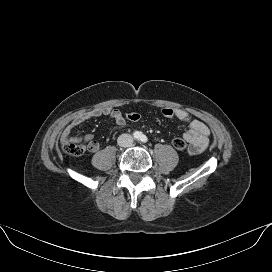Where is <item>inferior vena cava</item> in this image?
<instances>
[{
    "mask_svg": "<svg viewBox=\"0 0 272 272\" xmlns=\"http://www.w3.org/2000/svg\"><path fill=\"white\" fill-rule=\"evenodd\" d=\"M117 143L121 147H129L133 143V137L130 134H121L117 139Z\"/></svg>",
    "mask_w": 272,
    "mask_h": 272,
    "instance_id": "obj_1",
    "label": "inferior vena cava"
}]
</instances>
